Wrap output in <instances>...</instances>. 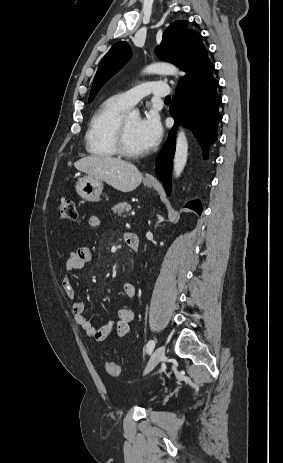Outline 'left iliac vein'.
<instances>
[{
  "label": "left iliac vein",
  "mask_w": 283,
  "mask_h": 463,
  "mask_svg": "<svg viewBox=\"0 0 283 463\" xmlns=\"http://www.w3.org/2000/svg\"><path fill=\"white\" fill-rule=\"evenodd\" d=\"M165 357V348L164 346H159L158 348L155 349L153 352L146 368H145V374L149 373L152 369H154L160 361H162Z\"/></svg>",
  "instance_id": "left-iliac-vein-1"
}]
</instances>
